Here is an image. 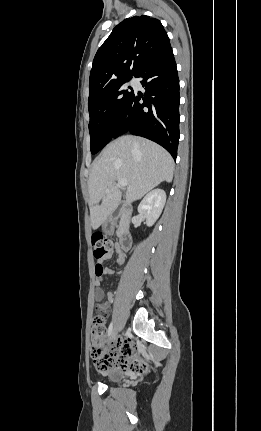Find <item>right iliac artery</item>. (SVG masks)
Returning <instances> with one entry per match:
<instances>
[{
    "mask_svg": "<svg viewBox=\"0 0 261 431\" xmlns=\"http://www.w3.org/2000/svg\"><path fill=\"white\" fill-rule=\"evenodd\" d=\"M112 331H113V323L111 322L108 328V336L111 335Z\"/></svg>",
    "mask_w": 261,
    "mask_h": 431,
    "instance_id": "1",
    "label": "right iliac artery"
}]
</instances>
